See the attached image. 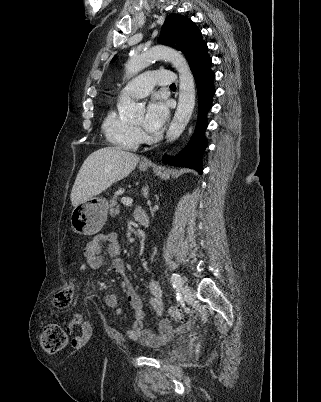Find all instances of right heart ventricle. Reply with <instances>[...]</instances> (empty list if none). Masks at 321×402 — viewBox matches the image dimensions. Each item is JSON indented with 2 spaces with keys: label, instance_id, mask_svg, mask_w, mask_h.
I'll use <instances>...</instances> for the list:
<instances>
[{
  "label": "right heart ventricle",
  "instance_id": "obj_1",
  "mask_svg": "<svg viewBox=\"0 0 321 402\" xmlns=\"http://www.w3.org/2000/svg\"><path fill=\"white\" fill-rule=\"evenodd\" d=\"M102 130L107 141L119 149L133 150L139 145L140 138L135 127L120 117L114 108L107 111Z\"/></svg>",
  "mask_w": 321,
  "mask_h": 402
}]
</instances>
